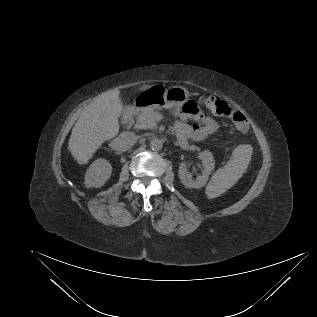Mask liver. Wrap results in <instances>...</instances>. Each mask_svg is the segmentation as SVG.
<instances>
[{"mask_svg":"<svg viewBox=\"0 0 317 317\" xmlns=\"http://www.w3.org/2000/svg\"><path fill=\"white\" fill-rule=\"evenodd\" d=\"M149 87L151 85H145L140 90ZM119 93L116 88L104 92L81 111L68 143V149L78 164H87L105 141L117 136L118 117L123 111Z\"/></svg>","mask_w":317,"mask_h":317,"instance_id":"liver-1","label":"liver"}]
</instances>
